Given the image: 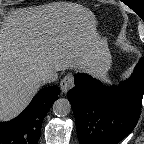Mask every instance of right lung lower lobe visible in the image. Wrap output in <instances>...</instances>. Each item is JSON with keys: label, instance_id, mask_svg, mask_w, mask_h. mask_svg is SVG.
<instances>
[{"label": "right lung lower lobe", "instance_id": "obj_1", "mask_svg": "<svg viewBox=\"0 0 144 144\" xmlns=\"http://www.w3.org/2000/svg\"><path fill=\"white\" fill-rule=\"evenodd\" d=\"M59 92L57 86L42 89L18 117L0 122V144H37L43 119Z\"/></svg>", "mask_w": 144, "mask_h": 144}]
</instances>
